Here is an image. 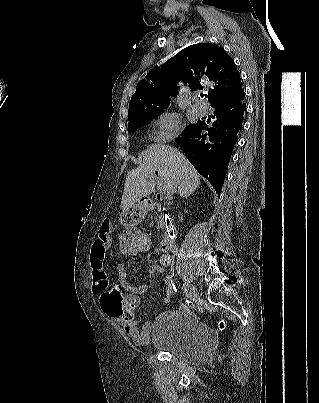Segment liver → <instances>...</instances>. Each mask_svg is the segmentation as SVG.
<instances>
[{"mask_svg": "<svg viewBox=\"0 0 319 403\" xmlns=\"http://www.w3.org/2000/svg\"><path fill=\"white\" fill-rule=\"evenodd\" d=\"M143 161L126 176L121 209H128L150 195L156 186L150 178L156 171L167 187L168 195L176 190L187 197L200 185V175L177 149L163 144H152L143 152Z\"/></svg>", "mask_w": 319, "mask_h": 403, "instance_id": "liver-1", "label": "liver"}]
</instances>
